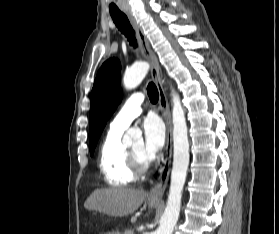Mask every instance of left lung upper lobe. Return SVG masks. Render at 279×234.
Returning a JSON list of instances; mask_svg holds the SVG:
<instances>
[{
	"label": "left lung upper lobe",
	"mask_w": 279,
	"mask_h": 234,
	"mask_svg": "<svg viewBox=\"0 0 279 234\" xmlns=\"http://www.w3.org/2000/svg\"><path fill=\"white\" fill-rule=\"evenodd\" d=\"M121 66L116 58L104 62L97 73L91 92L89 120L90 154L93 155L98 139L107 120L116 110L122 98L120 88Z\"/></svg>",
	"instance_id": "obj_1"
}]
</instances>
